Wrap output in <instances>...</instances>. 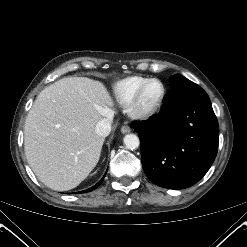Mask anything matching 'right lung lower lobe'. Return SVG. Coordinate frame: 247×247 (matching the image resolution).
Returning <instances> with one entry per match:
<instances>
[{
  "label": "right lung lower lobe",
  "instance_id": "obj_1",
  "mask_svg": "<svg viewBox=\"0 0 247 247\" xmlns=\"http://www.w3.org/2000/svg\"><path fill=\"white\" fill-rule=\"evenodd\" d=\"M103 179H104V177L95 186H93L87 190L81 191L80 193L89 192V191L96 189L102 183Z\"/></svg>",
  "mask_w": 247,
  "mask_h": 247
}]
</instances>
